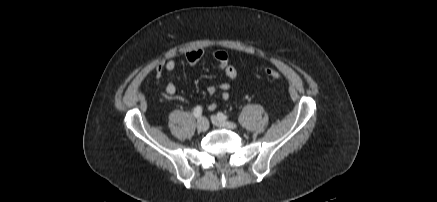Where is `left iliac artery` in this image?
Wrapping results in <instances>:
<instances>
[{
    "label": "left iliac artery",
    "instance_id": "left-iliac-artery-1",
    "mask_svg": "<svg viewBox=\"0 0 437 202\" xmlns=\"http://www.w3.org/2000/svg\"><path fill=\"white\" fill-rule=\"evenodd\" d=\"M217 117L219 118V119H221V120H226L228 117L225 115V114H223L222 112H219L218 114H217Z\"/></svg>",
    "mask_w": 437,
    "mask_h": 202
}]
</instances>
